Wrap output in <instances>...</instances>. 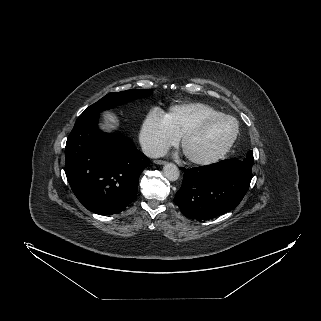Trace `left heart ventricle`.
<instances>
[{
	"mask_svg": "<svg viewBox=\"0 0 321 321\" xmlns=\"http://www.w3.org/2000/svg\"><path fill=\"white\" fill-rule=\"evenodd\" d=\"M234 132V123L221 119L206 126L196 136L190 138L184 147L187 154L205 158L214 155L228 141Z\"/></svg>",
	"mask_w": 321,
	"mask_h": 321,
	"instance_id": "1",
	"label": "left heart ventricle"
}]
</instances>
